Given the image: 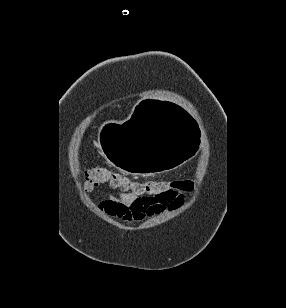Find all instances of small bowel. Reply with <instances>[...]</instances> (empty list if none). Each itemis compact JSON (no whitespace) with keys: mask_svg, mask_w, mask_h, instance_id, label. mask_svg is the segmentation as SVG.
<instances>
[{"mask_svg":"<svg viewBox=\"0 0 286 308\" xmlns=\"http://www.w3.org/2000/svg\"><path fill=\"white\" fill-rule=\"evenodd\" d=\"M187 192L171 190L165 196L145 198L134 193L113 195L99 202V208L107 215L126 222L141 221L152 216L181 207Z\"/></svg>","mask_w":286,"mask_h":308,"instance_id":"c3829d8e","label":"small bowel"}]
</instances>
